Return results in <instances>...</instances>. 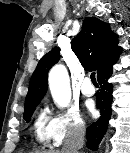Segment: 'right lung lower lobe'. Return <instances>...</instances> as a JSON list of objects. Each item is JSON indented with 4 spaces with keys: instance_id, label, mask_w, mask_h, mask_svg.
<instances>
[{
    "instance_id": "right-lung-lower-lobe-1",
    "label": "right lung lower lobe",
    "mask_w": 130,
    "mask_h": 153,
    "mask_svg": "<svg viewBox=\"0 0 130 153\" xmlns=\"http://www.w3.org/2000/svg\"><path fill=\"white\" fill-rule=\"evenodd\" d=\"M112 73L113 65L107 68L100 76L97 77L101 89L96 94V98L97 107L101 112V116L96 122H93L87 128V146L92 150H97V146L106 132L107 125L111 117L113 87L112 84L108 83V79Z\"/></svg>"
}]
</instances>
